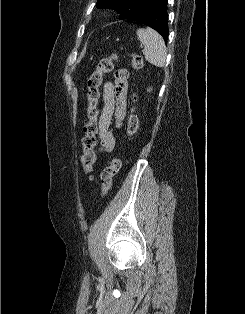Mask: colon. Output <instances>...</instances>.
Here are the masks:
<instances>
[{
  "label": "colon",
  "mask_w": 245,
  "mask_h": 314,
  "mask_svg": "<svg viewBox=\"0 0 245 314\" xmlns=\"http://www.w3.org/2000/svg\"><path fill=\"white\" fill-rule=\"evenodd\" d=\"M117 59V55H111L101 59L96 69L87 79L88 122L84 127V137L82 139L83 154L81 157V162L84 172L89 175L92 173L96 163V153L94 148L96 145V134L98 131L97 119L99 115V110L97 104L99 99V87L102 83L103 75L112 71ZM141 66V58L138 55H133L132 67L135 70H138L141 68ZM138 126L139 119L135 112V108L132 106L128 117L127 135L129 137L133 136L137 132ZM120 166L121 162L119 158L114 157L110 161V164L102 171L100 179L101 191L104 197L108 194L112 185V179L119 171Z\"/></svg>",
  "instance_id": "obj_1"
}]
</instances>
